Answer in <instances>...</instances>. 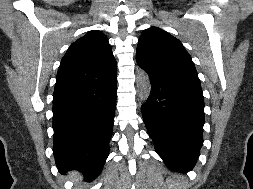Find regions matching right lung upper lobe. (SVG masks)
<instances>
[{
    "instance_id": "1",
    "label": "right lung upper lobe",
    "mask_w": 253,
    "mask_h": 189,
    "mask_svg": "<svg viewBox=\"0 0 253 189\" xmlns=\"http://www.w3.org/2000/svg\"><path fill=\"white\" fill-rule=\"evenodd\" d=\"M116 72V60L106 36L89 31L72 43L62 58L56 84L93 83Z\"/></svg>"
}]
</instances>
